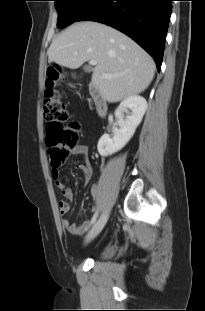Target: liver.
<instances>
[{
	"mask_svg": "<svg viewBox=\"0 0 205 311\" xmlns=\"http://www.w3.org/2000/svg\"><path fill=\"white\" fill-rule=\"evenodd\" d=\"M47 54L50 63L70 69L97 61L92 85L108 102L141 93L154 77V61L144 49L120 31L94 21L69 26L53 40Z\"/></svg>",
	"mask_w": 205,
	"mask_h": 311,
	"instance_id": "liver-1",
	"label": "liver"
}]
</instances>
